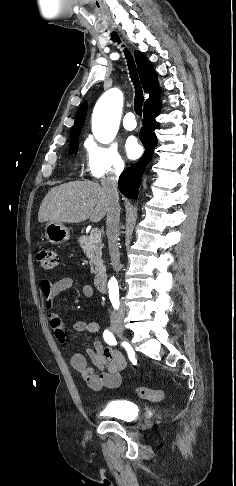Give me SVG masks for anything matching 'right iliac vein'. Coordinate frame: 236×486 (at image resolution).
Returning a JSON list of instances; mask_svg holds the SVG:
<instances>
[{
    "label": "right iliac vein",
    "mask_w": 236,
    "mask_h": 486,
    "mask_svg": "<svg viewBox=\"0 0 236 486\" xmlns=\"http://www.w3.org/2000/svg\"><path fill=\"white\" fill-rule=\"evenodd\" d=\"M112 330L120 337L124 336V326L121 319L111 320Z\"/></svg>",
    "instance_id": "1"
}]
</instances>
